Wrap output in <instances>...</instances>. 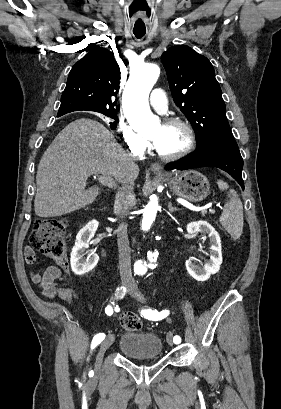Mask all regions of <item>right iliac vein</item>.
I'll return each mask as SVG.
<instances>
[{
  "label": "right iliac vein",
  "mask_w": 281,
  "mask_h": 409,
  "mask_svg": "<svg viewBox=\"0 0 281 409\" xmlns=\"http://www.w3.org/2000/svg\"><path fill=\"white\" fill-rule=\"evenodd\" d=\"M128 286L129 285L126 282H123V287H125L127 289ZM113 342H114V336L110 335L101 343V346H100V349H99V352H98L97 358H96V366L98 368H100V366H101L102 359H103L105 351L113 344Z\"/></svg>",
  "instance_id": "obj_1"
}]
</instances>
